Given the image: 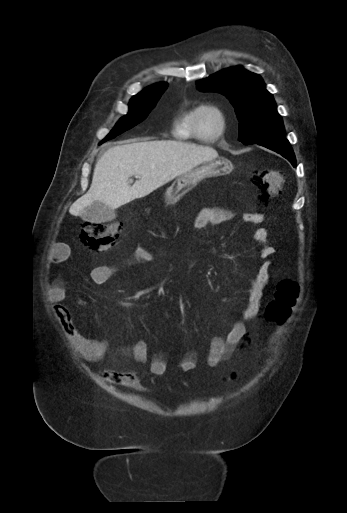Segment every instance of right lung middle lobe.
<instances>
[{
    "label": "right lung middle lobe",
    "mask_w": 347,
    "mask_h": 513,
    "mask_svg": "<svg viewBox=\"0 0 347 513\" xmlns=\"http://www.w3.org/2000/svg\"><path fill=\"white\" fill-rule=\"evenodd\" d=\"M166 88V83L155 84L132 97L129 103V113L118 121L116 126L111 130L102 143L114 138L118 134L123 133L143 121L155 107L157 101Z\"/></svg>",
    "instance_id": "1"
}]
</instances>
